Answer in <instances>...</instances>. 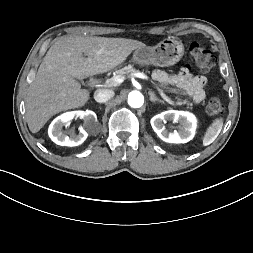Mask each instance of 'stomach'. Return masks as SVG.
<instances>
[{"label":"stomach","instance_id":"obj_1","mask_svg":"<svg viewBox=\"0 0 253 253\" xmlns=\"http://www.w3.org/2000/svg\"><path fill=\"white\" fill-rule=\"evenodd\" d=\"M184 45L175 38H167L154 47H141L134 51L133 61L139 65L171 66L181 60Z\"/></svg>","mask_w":253,"mask_h":253}]
</instances>
